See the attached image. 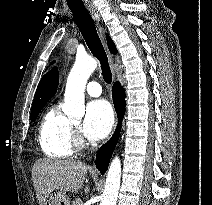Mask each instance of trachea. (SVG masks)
Instances as JSON below:
<instances>
[{
  "instance_id": "1",
  "label": "trachea",
  "mask_w": 212,
  "mask_h": 205,
  "mask_svg": "<svg viewBox=\"0 0 212 205\" xmlns=\"http://www.w3.org/2000/svg\"><path fill=\"white\" fill-rule=\"evenodd\" d=\"M68 6L73 13L74 20L83 35L88 48L94 57L100 62L104 81L107 84H110L112 82V73L108 64L107 55L89 11L84 4H68Z\"/></svg>"
}]
</instances>
